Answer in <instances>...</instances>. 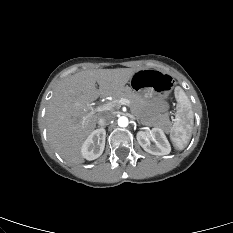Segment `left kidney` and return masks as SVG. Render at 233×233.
<instances>
[{
    "mask_svg": "<svg viewBox=\"0 0 233 233\" xmlns=\"http://www.w3.org/2000/svg\"><path fill=\"white\" fill-rule=\"evenodd\" d=\"M137 141L146 152L153 155L161 156L171 152L169 141L161 128H153L150 133L139 131Z\"/></svg>",
    "mask_w": 233,
    "mask_h": 233,
    "instance_id": "5707ae66",
    "label": "left kidney"
}]
</instances>
